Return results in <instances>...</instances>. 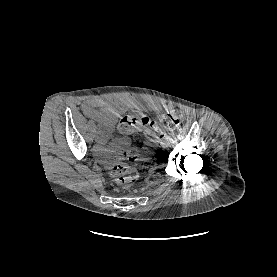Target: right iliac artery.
Returning <instances> with one entry per match:
<instances>
[{
    "mask_svg": "<svg viewBox=\"0 0 277 277\" xmlns=\"http://www.w3.org/2000/svg\"><path fill=\"white\" fill-rule=\"evenodd\" d=\"M95 134L99 136L101 133H100L99 130H96V131H95Z\"/></svg>",
    "mask_w": 277,
    "mask_h": 277,
    "instance_id": "right-iliac-artery-1",
    "label": "right iliac artery"
}]
</instances>
